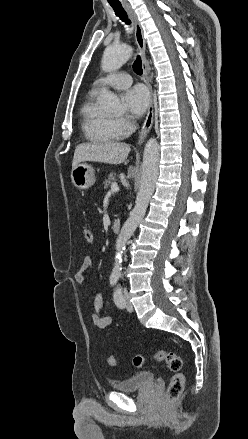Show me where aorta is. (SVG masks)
<instances>
[{
  "label": "aorta",
  "instance_id": "aorta-1",
  "mask_svg": "<svg viewBox=\"0 0 248 439\" xmlns=\"http://www.w3.org/2000/svg\"><path fill=\"white\" fill-rule=\"evenodd\" d=\"M132 55V48L128 45H110L102 57L101 68L105 72L119 69ZM99 105L106 113L119 112L122 108L117 95L110 91H103L99 98ZM159 145L155 138H150L144 148L142 175L136 196L135 206L129 218L123 224L115 244V262L112 272L120 274L122 256L126 244L144 218L151 196L154 193L158 177Z\"/></svg>",
  "mask_w": 248,
  "mask_h": 439
}]
</instances>
